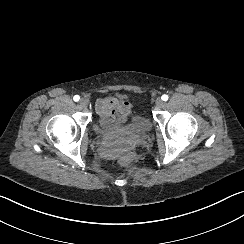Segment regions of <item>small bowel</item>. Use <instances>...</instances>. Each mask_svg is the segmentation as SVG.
I'll list each match as a JSON object with an SVG mask.
<instances>
[{"label":"small bowel","mask_w":244,"mask_h":244,"mask_svg":"<svg viewBox=\"0 0 244 244\" xmlns=\"http://www.w3.org/2000/svg\"><path fill=\"white\" fill-rule=\"evenodd\" d=\"M96 110L105 125L123 123L130 116L129 104L114 97L99 99L96 103Z\"/></svg>","instance_id":"1"}]
</instances>
